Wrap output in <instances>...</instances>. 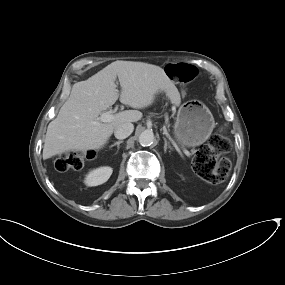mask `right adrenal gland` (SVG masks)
I'll use <instances>...</instances> for the list:
<instances>
[{
  "label": "right adrenal gland",
  "mask_w": 285,
  "mask_h": 285,
  "mask_svg": "<svg viewBox=\"0 0 285 285\" xmlns=\"http://www.w3.org/2000/svg\"><path fill=\"white\" fill-rule=\"evenodd\" d=\"M121 143H123L122 140L116 141L114 144H112V145L110 146V148H112V147H114V146H117V148L119 149V145H120Z\"/></svg>",
  "instance_id": "obj_1"
}]
</instances>
